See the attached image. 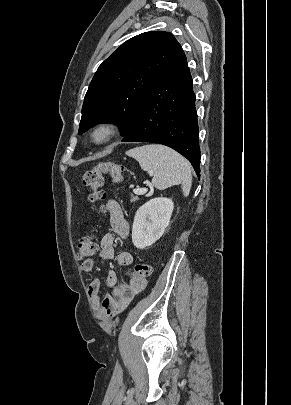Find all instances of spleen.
<instances>
[{
    "mask_svg": "<svg viewBox=\"0 0 291 405\" xmlns=\"http://www.w3.org/2000/svg\"><path fill=\"white\" fill-rule=\"evenodd\" d=\"M126 154L136 159L144 171L153 174L152 183L157 189L164 190L181 184L183 195H189L192 184L191 167L174 150L163 145L150 144L133 148Z\"/></svg>",
    "mask_w": 291,
    "mask_h": 405,
    "instance_id": "spleen-1",
    "label": "spleen"
}]
</instances>
